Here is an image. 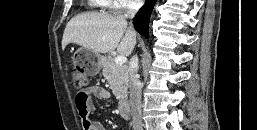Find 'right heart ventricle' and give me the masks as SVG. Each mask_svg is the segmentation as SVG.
Segmentation results:
<instances>
[{
	"instance_id": "obj_1",
	"label": "right heart ventricle",
	"mask_w": 257,
	"mask_h": 130,
	"mask_svg": "<svg viewBox=\"0 0 257 130\" xmlns=\"http://www.w3.org/2000/svg\"><path fill=\"white\" fill-rule=\"evenodd\" d=\"M109 0H89V3L93 7L97 8H109Z\"/></svg>"
}]
</instances>
